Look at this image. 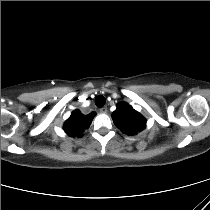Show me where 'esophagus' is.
Returning <instances> with one entry per match:
<instances>
[{"mask_svg":"<svg viewBox=\"0 0 210 210\" xmlns=\"http://www.w3.org/2000/svg\"><path fill=\"white\" fill-rule=\"evenodd\" d=\"M101 113H107V107H102L100 108Z\"/></svg>","mask_w":210,"mask_h":210,"instance_id":"obj_1","label":"esophagus"}]
</instances>
